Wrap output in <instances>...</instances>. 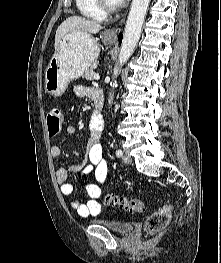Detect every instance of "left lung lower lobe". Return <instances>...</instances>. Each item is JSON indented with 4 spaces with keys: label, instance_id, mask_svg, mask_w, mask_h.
I'll return each instance as SVG.
<instances>
[{
    "label": "left lung lower lobe",
    "instance_id": "1",
    "mask_svg": "<svg viewBox=\"0 0 221 263\" xmlns=\"http://www.w3.org/2000/svg\"><path fill=\"white\" fill-rule=\"evenodd\" d=\"M118 39H119V43H121V41H122V34L121 33L119 34V38Z\"/></svg>",
    "mask_w": 221,
    "mask_h": 263
}]
</instances>
